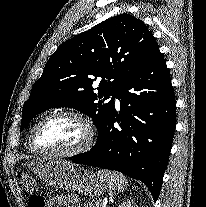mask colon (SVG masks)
<instances>
[{"mask_svg": "<svg viewBox=\"0 0 206 207\" xmlns=\"http://www.w3.org/2000/svg\"><path fill=\"white\" fill-rule=\"evenodd\" d=\"M16 178L22 191L29 195V207H46V203L42 197L35 194V178L23 169H19L16 172Z\"/></svg>", "mask_w": 206, "mask_h": 207, "instance_id": "5ec220e1", "label": "colon"}]
</instances>
